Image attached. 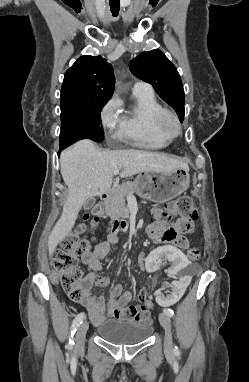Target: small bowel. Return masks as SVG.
I'll list each match as a JSON object with an SVG mask.
<instances>
[{
    "mask_svg": "<svg viewBox=\"0 0 249 382\" xmlns=\"http://www.w3.org/2000/svg\"><path fill=\"white\" fill-rule=\"evenodd\" d=\"M197 218L176 215L163 218L148 230L150 235L156 237L152 242L153 245L159 246L160 241H165L178 245L179 250L186 248L188 241L185 235L191 234L194 231ZM118 242L119 236L117 233L110 232L105 241L98 243L93 250H89L82 255V262L87 266V273L83 280L86 285V297L79 303L86 307L90 319L96 324L101 323L105 318L150 324V310L153 306L152 300H147L142 305L129 306L132 293L130 291H123L122 286L119 284L113 287L107 306L102 297H95L90 293L93 284L100 286H107L109 284V278L98 275L97 271L101 269V260L108 255L111 246ZM145 257V255H140L139 260H145Z\"/></svg>",
    "mask_w": 249,
    "mask_h": 382,
    "instance_id": "obj_1",
    "label": "small bowel"
}]
</instances>
